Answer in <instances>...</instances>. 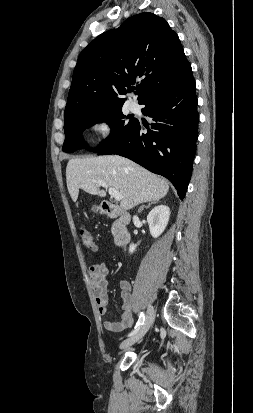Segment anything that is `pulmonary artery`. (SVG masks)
I'll return each mask as SVG.
<instances>
[{"mask_svg":"<svg viewBox=\"0 0 253 413\" xmlns=\"http://www.w3.org/2000/svg\"><path fill=\"white\" fill-rule=\"evenodd\" d=\"M129 109H130L132 112H137V111L139 110V105H138V103H137L136 101H134V100L130 101V103H129Z\"/></svg>","mask_w":253,"mask_h":413,"instance_id":"1","label":"pulmonary artery"}]
</instances>
